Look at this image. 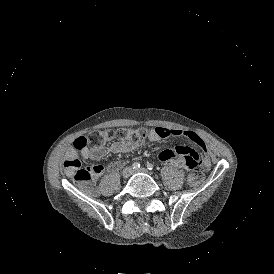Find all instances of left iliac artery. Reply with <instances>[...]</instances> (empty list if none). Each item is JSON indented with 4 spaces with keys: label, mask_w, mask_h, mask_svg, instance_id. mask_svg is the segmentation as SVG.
<instances>
[{
    "label": "left iliac artery",
    "mask_w": 274,
    "mask_h": 274,
    "mask_svg": "<svg viewBox=\"0 0 274 274\" xmlns=\"http://www.w3.org/2000/svg\"><path fill=\"white\" fill-rule=\"evenodd\" d=\"M154 167L151 163H147V169L148 170H152Z\"/></svg>",
    "instance_id": "44dca946"
}]
</instances>
